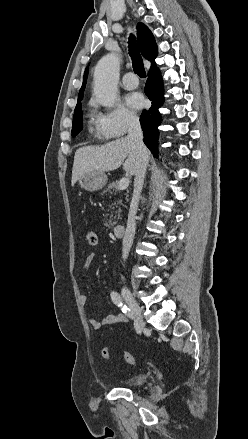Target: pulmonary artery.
<instances>
[{
	"label": "pulmonary artery",
	"instance_id": "obj_1",
	"mask_svg": "<svg viewBox=\"0 0 248 439\" xmlns=\"http://www.w3.org/2000/svg\"><path fill=\"white\" fill-rule=\"evenodd\" d=\"M139 85V80L133 72L126 73L122 78V86L127 90L136 89Z\"/></svg>",
	"mask_w": 248,
	"mask_h": 439
}]
</instances>
